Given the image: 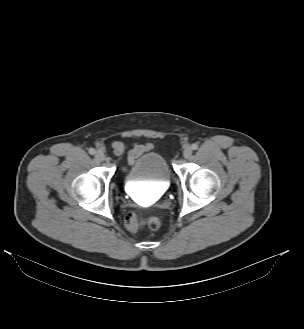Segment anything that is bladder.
I'll return each instance as SVG.
<instances>
[{
	"label": "bladder",
	"instance_id": "31cf9c89",
	"mask_svg": "<svg viewBox=\"0 0 304 329\" xmlns=\"http://www.w3.org/2000/svg\"><path fill=\"white\" fill-rule=\"evenodd\" d=\"M170 180L171 171L165 158L154 151L141 154L124 174L126 187L142 182L164 186Z\"/></svg>",
	"mask_w": 304,
	"mask_h": 329
}]
</instances>
